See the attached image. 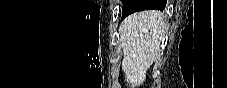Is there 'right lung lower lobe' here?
Segmentation results:
<instances>
[{"label":"right lung lower lobe","mask_w":227,"mask_h":88,"mask_svg":"<svg viewBox=\"0 0 227 88\" xmlns=\"http://www.w3.org/2000/svg\"><path fill=\"white\" fill-rule=\"evenodd\" d=\"M166 5V0H132L122 12V19L128 15L142 10L156 9L163 10Z\"/></svg>","instance_id":"1"}]
</instances>
